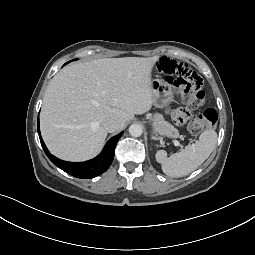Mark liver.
Listing matches in <instances>:
<instances>
[{
  "instance_id": "obj_1",
  "label": "liver",
  "mask_w": 255,
  "mask_h": 255,
  "mask_svg": "<svg viewBox=\"0 0 255 255\" xmlns=\"http://www.w3.org/2000/svg\"><path fill=\"white\" fill-rule=\"evenodd\" d=\"M159 56L104 58L63 68L50 82L40 129L52 154L67 161L95 157L107 137L104 122H126L152 105L151 71Z\"/></svg>"
}]
</instances>
